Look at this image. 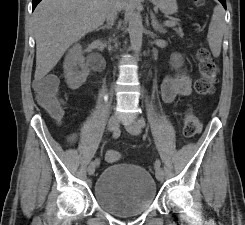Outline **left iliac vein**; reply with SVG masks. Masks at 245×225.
Masks as SVG:
<instances>
[{
    "mask_svg": "<svg viewBox=\"0 0 245 225\" xmlns=\"http://www.w3.org/2000/svg\"><path fill=\"white\" fill-rule=\"evenodd\" d=\"M126 129L129 133L133 135H139L141 133L142 127L137 121H132L126 124ZM156 178L158 181H162L164 178V171L162 168L157 169L156 171Z\"/></svg>",
    "mask_w": 245,
    "mask_h": 225,
    "instance_id": "4c4485c4",
    "label": "left iliac vein"
}]
</instances>
